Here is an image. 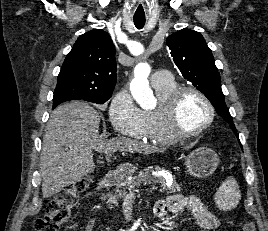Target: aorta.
<instances>
[{
    "label": "aorta",
    "mask_w": 268,
    "mask_h": 231,
    "mask_svg": "<svg viewBox=\"0 0 268 231\" xmlns=\"http://www.w3.org/2000/svg\"><path fill=\"white\" fill-rule=\"evenodd\" d=\"M150 71L151 69L148 64L138 65L134 71V79L130 84L132 96L144 109L150 108L153 105V92L148 81Z\"/></svg>",
    "instance_id": "1"
}]
</instances>
